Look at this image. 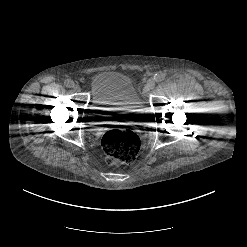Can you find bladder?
Wrapping results in <instances>:
<instances>
[{"instance_id": "1", "label": "bladder", "mask_w": 247, "mask_h": 247, "mask_svg": "<svg viewBox=\"0 0 247 247\" xmlns=\"http://www.w3.org/2000/svg\"><path fill=\"white\" fill-rule=\"evenodd\" d=\"M90 117L96 124L133 121L141 116V101L132 80L118 72H101L90 82Z\"/></svg>"}]
</instances>
